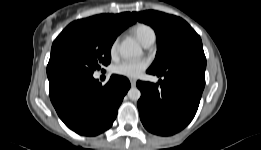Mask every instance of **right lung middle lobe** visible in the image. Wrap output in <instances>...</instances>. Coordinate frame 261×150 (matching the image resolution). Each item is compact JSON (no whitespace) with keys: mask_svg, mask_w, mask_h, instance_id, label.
I'll return each mask as SVG.
<instances>
[{"mask_svg":"<svg viewBox=\"0 0 261 150\" xmlns=\"http://www.w3.org/2000/svg\"><path fill=\"white\" fill-rule=\"evenodd\" d=\"M117 35L89 23H71L55 39L47 65L48 78L63 74L93 75L111 61Z\"/></svg>","mask_w":261,"mask_h":150,"instance_id":"right-lung-middle-lobe-1","label":"right lung middle lobe"}]
</instances>
